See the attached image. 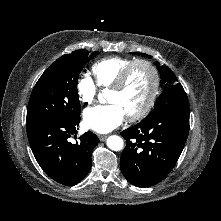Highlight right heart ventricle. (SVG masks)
I'll return each instance as SVG.
<instances>
[{
    "instance_id": "right-heart-ventricle-1",
    "label": "right heart ventricle",
    "mask_w": 221,
    "mask_h": 221,
    "mask_svg": "<svg viewBox=\"0 0 221 221\" xmlns=\"http://www.w3.org/2000/svg\"><path fill=\"white\" fill-rule=\"evenodd\" d=\"M133 61L132 58L111 56L95 62L91 67V72L96 84L102 89L110 88L122 70Z\"/></svg>"
}]
</instances>
